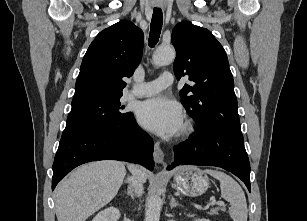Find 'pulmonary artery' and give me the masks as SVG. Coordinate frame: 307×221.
Segmentation results:
<instances>
[{
	"label": "pulmonary artery",
	"instance_id": "obj_1",
	"mask_svg": "<svg viewBox=\"0 0 307 221\" xmlns=\"http://www.w3.org/2000/svg\"><path fill=\"white\" fill-rule=\"evenodd\" d=\"M173 83V75L170 72L163 73L158 79L151 82L133 85L130 97H146L158 93Z\"/></svg>",
	"mask_w": 307,
	"mask_h": 221
}]
</instances>
